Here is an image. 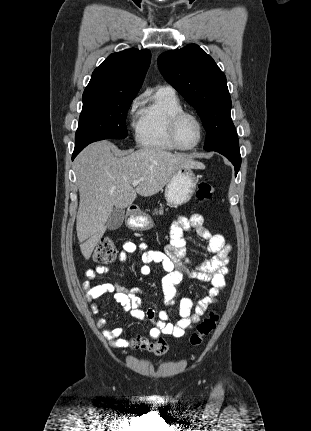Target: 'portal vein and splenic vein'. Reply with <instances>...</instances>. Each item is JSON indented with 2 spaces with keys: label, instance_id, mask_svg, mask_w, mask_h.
<instances>
[{
  "label": "portal vein and splenic vein",
  "instance_id": "obj_1",
  "mask_svg": "<svg viewBox=\"0 0 311 431\" xmlns=\"http://www.w3.org/2000/svg\"><path fill=\"white\" fill-rule=\"evenodd\" d=\"M140 182H142V180H134V182H132V186H138Z\"/></svg>",
  "mask_w": 311,
  "mask_h": 431
}]
</instances>
